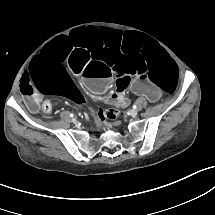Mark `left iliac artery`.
<instances>
[{
	"instance_id": "obj_1",
	"label": "left iliac artery",
	"mask_w": 215,
	"mask_h": 215,
	"mask_svg": "<svg viewBox=\"0 0 215 215\" xmlns=\"http://www.w3.org/2000/svg\"><path fill=\"white\" fill-rule=\"evenodd\" d=\"M137 108V106L136 105H133V109H136Z\"/></svg>"
}]
</instances>
